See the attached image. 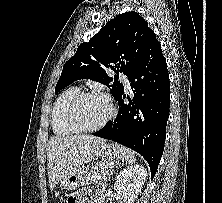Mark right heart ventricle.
Masks as SVG:
<instances>
[{
  "instance_id": "obj_1",
  "label": "right heart ventricle",
  "mask_w": 222,
  "mask_h": 203,
  "mask_svg": "<svg viewBox=\"0 0 222 203\" xmlns=\"http://www.w3.org/2000/svg\"><path fill=\"white\" fill-rule=\"evenodd\" d=\"M80 92L79 87L72 86L64 90L57 98L52 111V129L57 136H70L79 132L68 123L66 109L73 97Z\"/></svg>"
}]
</instances>
